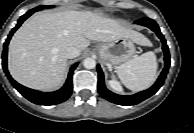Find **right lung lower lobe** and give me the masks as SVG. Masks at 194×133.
Listing matches in <instances>:
<instances>
[{
  "label": "right lung lower lobe",
  "instance_id": "right-lung-lower-lobe-1",
  "mask_svg": "<svg viewBox=\"0 0 194 133\" xmlns=\"http://www.w3.org/2000/svg\"><path fill=\"white\" fill-rule=\"evenodd\" d=\"M33 14L32 10H29L26 14L20 17L18 20L17 25L12 29L10 34L8 35L7 40L4 43V50H3V55H2V66L5 74L7 75L8 79L10 80L11 84L16 88L20 94H22L26 99L29 101L38 104V105H54V104H59L61 102H64L67 100L71 93H72V75L73 71L78 65V63L74 64L70 68V72L68 75V79L65 83V85L60 89L55 92L51 93H44L40 92L37 90H33L30 88H27L25 86L20 85L17 83L15 80L12 79L10 76L8 69H7V49H8V43L10 41V38L12 37L13 33L20 27V25L31 15Z\"/></svg>",
  "mask_w": 194,
  "mask_h": 133
}]
</instances>
